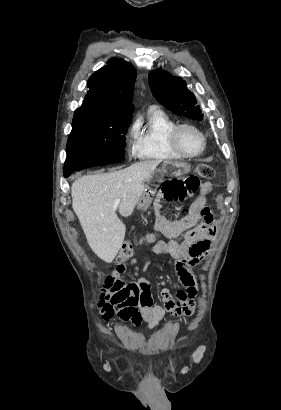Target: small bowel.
I'll return each mask as SVG.
<instances>
[{
  "label": "small bowel",
  "mask_w": 281,
  "mask_h": 410,
  "mask_svg": "<svg viewBox=\"0 0 281 410\" xmlns=\"http://www.w3.org/2000/svg\"><path fill=\"white\" fill-rule=\"evenodd\" d=\"M210 190L209 183L202 184L188 213L179 220L166 219L161 212L160 204H156L155 227L170 240L157 242L153 251L156 254L170 255L175 259L176 276L186 290H178L174 298L166 288L165 282L162 281L160 298L163 306L154 305L150 281L136 273L133 281L126 282L124 274L127 271V265L119 263L105 277L98 301L99 310L105 318H109L115 310H119L133 323H135V318L138 319V324L142 320L146 321L148 328L151 329L168 313L183 316L193 312L191 304L197 291L192 269L208 254L217 234L213 214L206 205V197ZM136 262V259L131 260L132 264ZM188 309L190 312H187ZM131 311L137 312L136 317Z\"/></svg>",
  "instance_id": "obj_1"
}]
</instances>
